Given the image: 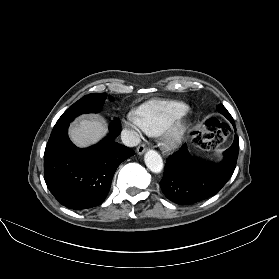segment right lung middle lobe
Segmentation results:
<instances>
[{"label": "right lung middle lobe", "instance_id": "1", "mask_svg": "<svg viewBox=\"0 0 279 279\" xmlns=\"http://www.w3.org/2000/svg\"><path fill=\"white\" fill-rule=\"evenodd\" d=\"M106 93H99V94H89L82 97L76 103H74L71 107H69L64 114L59 118L56 125L69 123L72 121L76 116L82 113H89V112H98L100 111L103 102L106 98Z\"/></svg>", "mask_w": 279, "mask_h": 279}]
</instances>
